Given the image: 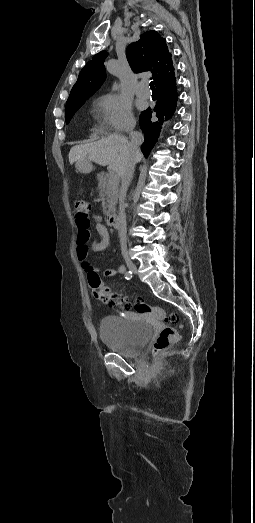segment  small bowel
<instances>
[{"instance_id":"c3829d8e","label":"small bowel","mask_w":255,"mask_h":523,"mask_svg":"<svg viewBox=\"0 0 255 523\" xmlns=\"http://www.w3.org/2000/svg\"><path fill=\"white\" fill-rule=\"evenodd\" d=\"M94 221V229L100 236V240L97 242H92L89 244L90 241V222L87 226L81 227L78 226V235H77V248H76V255L78 260L81 261L83 269L88 272H96V270L93 269L91 264L89 263L87 257L89 251H103L107 248L109 244V232L104 224L101 222V217L99 215L93 216ZM125 272V267L123 265H118L112 268L107 269L104 272V275L106 276H115L117 274H122Z\"/></svg>"}]
</instances>
